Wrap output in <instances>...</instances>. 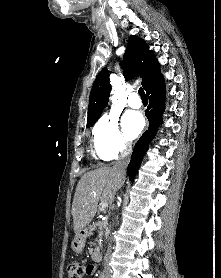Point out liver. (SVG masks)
<instances>
[{
	"label": "liver",
	"instance_id": "liver-1",
	"mask_svg": "<svg viewBox=\"0 0 221 278\" xmlns=\"http://www.w3.org/2000/svg\"><path fill=\"white\" fill-rule=\"evenodd\" d=\"M114 167L103 166L85 173L79 180L73 203L74 232L78 234L93 219L98 202L112 203L116 192L124 184Z\"/></svg>",
	"mask_w": 221,
	"mask_h": 278
}]
</instances>
